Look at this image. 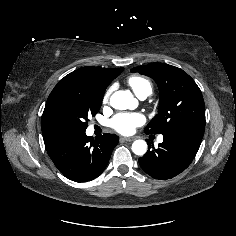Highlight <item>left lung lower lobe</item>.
Segmentation results:
<instances>
[{
    "label": "left lung lower lobe",
    "mask_w": 236,
    "mask_h": 236,
    "mask_svg": "<svg viewBox=\"0 0 236 236\" xmlns=\"http://www.w3.org/2000/svg\"><path fill=\"white\" fill-rule=\"evenodd\" d=\"M205 126H189L165 132L158 149L139 158L141 168L159 180L171 179L183 172L194 159L204 134ZM152 148L154 146L152 145Z\"/></svg>",
    "instance_id": "1"
}]
</instances>
